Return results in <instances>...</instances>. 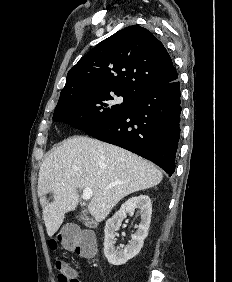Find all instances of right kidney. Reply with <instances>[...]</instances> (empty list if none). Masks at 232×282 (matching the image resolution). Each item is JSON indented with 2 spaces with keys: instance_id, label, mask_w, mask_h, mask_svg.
<instances>
[{
  "instance_id": "obj_1",
  "label": "right kidney",
  "mask_w": 232,
  "mask_h": 282,
  "mask_svg": "<svg viewBox=\"0 0 232 282\" xmlns=\"http://www.w3.org/2000/svg\"><path fill=\"white\" fill-rule=\"evenodd\" d=\"M138 209L141 215V223L135 234L131 236L129 244L124 249L115 248V232L121 226L122 221L127 215ZM152 204L147 195H139L128 199L115 213L107 220L105 225L104 254L108 262L112 265H122L135 257L141 250L144 240L148 235L151 222Z\"/></svg>"
}]
</instances>
